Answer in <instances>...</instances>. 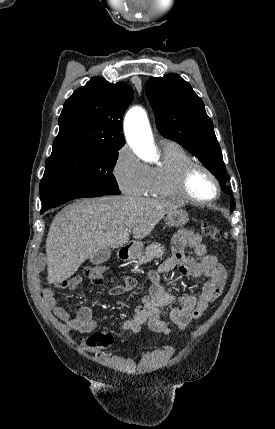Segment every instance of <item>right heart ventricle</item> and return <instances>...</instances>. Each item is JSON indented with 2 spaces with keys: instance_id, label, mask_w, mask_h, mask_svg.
I'll use <instances>...</instances> for the list:
<instances>
[{
  "instance_id": "right-heart-ventricle-1",
  "label": "right heart ventricle",
  "mask_w": 275,
  "mask_h": 429,
  "mask_svg": "<svg viewBox=\"0 0 275 429\" xmlns=\"http://www.w3.org/2000/svg\"><path fill=\"white\" fill-rule=\"evenodd\" d=\"M161 161L150 168V180L146 196L159 199H182L177 190L180 170L193 162L190 154L180 145L165 141L161 144Z\"/></svg>"
}]
</instances>
